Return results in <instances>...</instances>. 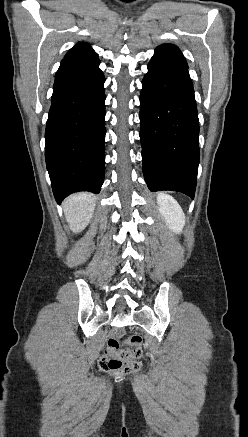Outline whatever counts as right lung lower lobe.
<instances>
[{
	"mask_svg": "<svg viewBox=\"0 0 248 437\" xmlns=\"http://www.w3.org/2000/svg\"><path fill=\"white\" fill-rule=\"evenodd\" d=\"M98 56L62 60L45 131V158L58 203L99 193L105 171V77Z\"/></svg>",
	"mask_w": 248,
	"mask_h": 437,
	"instance_id": "98d812e1",
	"label": "right lung lower lobe"
}]
</instances>
